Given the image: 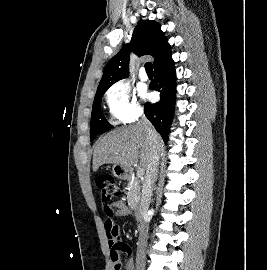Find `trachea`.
I'll return each mask as SVG.
<instances>
[{
  "label": "trachea",
  "instance_id": "obj_1",
  "mask_svg": "<svg viewBox=\"0 0 267 270\" xmlns=\"http://www.w3.org/2000/svg\"><path fill=\"white\" fill-rule=\"evenodd\" d=\"M145 70L146 72L149 74V73H153V65L151 62H147L145 64Z\"/></svg>",
  "mask_w": 267,
  "mask_h": 270
}]
</instances>
